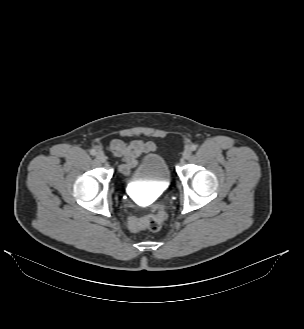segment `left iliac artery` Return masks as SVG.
<instances>
[{"label": "left iliac artery", "instance_id": "left-iliac-artery-1", "mask_svg": "<svg viewBox=\"0 0 304 329\" xmlns=\"http://www.w3.org/2000/svg\"><path fill=\"white\" fill-rule=\"evenodd\" d=\"M190 149H191L192 151H195V150L197 149V145H195V144L191 145Z\"/></svg>", "mask_w": 304, "mask_h": 329}]
</instances>
